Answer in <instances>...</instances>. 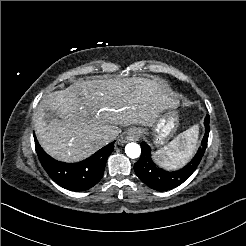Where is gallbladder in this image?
Wrapping results in <instances>:
<instances>
[{"label": "gallbladder", "instance_id": "obj_1", "mask_svg": "<svg viewBox=\"0 0 246 246\" xmlns=\"http://www.w3.org/2000/svg\"><path fill=\"white\" fill-rule=\"evenodd\" d=\"M45 113H46V120H50L55 116L54 112L50 110H45Z\"/></svg>", "mask_w": 246, "mask_h": 246}]
</instances>
